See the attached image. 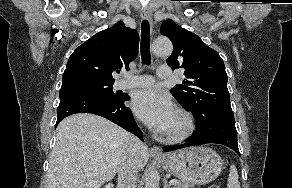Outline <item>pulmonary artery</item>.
<instances>
[{
    "label": "pulmonary artery",
    "mask_w": 292,
    "mask_h": 188,
    "mask_svg": "<svg viewBox=\"0 0 292 188\" xmlns=\"http://www.w3.org/2000/svg\"><path fill=\"white\" fill-rule=\"evenodd\" d=\"M157 76L161 79H169L172 76L170 67L160 66L157 69ZM154 83V78L150 75H132L125 74L124 77L118 82L120 89L128 88H144L149 87Z\"/></svg>",
    "instance_id": "obj_1"
}]
</instances>
